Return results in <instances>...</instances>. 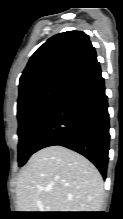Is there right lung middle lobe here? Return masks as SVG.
Segmentation results:
<instances>
[{"instance_id": "1", "label": "right lung middle lobe", "mask_w": 123, "mask_h": 219, "mask_svg": "<svg viewBox=\"0 0 123 219\" xmlns=\"http://www.w3.org/2000/svg\"><path fill=\"white\" fill-rule=\"evenodd\" d=\"M68 81H53L33 88L18 98V163L23 166L35 152V142Z\"/></svg>"}]
</instances>
